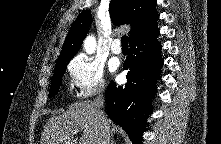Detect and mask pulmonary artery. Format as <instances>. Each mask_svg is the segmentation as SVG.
<instances>
[{"label":"pulmonary artery","instance_id":"pulmonary-artery-1","mask_svg":"<svg viewBox=\"0 0 221 144\" xmlns=\"http://www.w3.org/2000/svg\"><path fill=\"white\" fill-rule=\"evenodd\" d=\"M111 51L114 54H120L122 52L120 41L118 39H115L111 44Z\"/></svg>","mask_w":221,"mask_h":144}]
</instances>
